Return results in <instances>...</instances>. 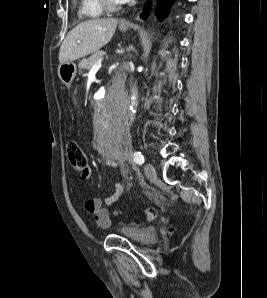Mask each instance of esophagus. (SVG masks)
I'll use <instances>...</instances> for the list:
<instances>
[{"mask_svg": "<svg viewBox=\"0 0 267 298\" xmlns=\"http://www.w3.org/2000/svg\"><path fill=\"white\" fill-rule=\"evenodd\" d=\"M128 24H129V22L127 19H123L120 21V25H122V26H127Z\"/></svg>", "mask_w": 267, "mask_h": 298, "instance_id": "34e87169", "label": "esophagus"}]
</instances>
